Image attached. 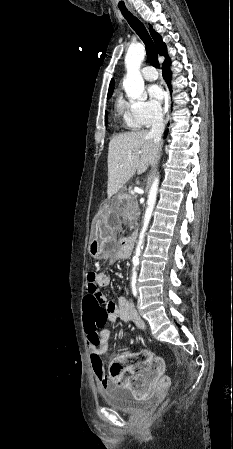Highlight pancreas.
Masks as SVG:
<instances>
[{"label":"pancreas","instance_id":"obj_1","mask_svg":"<svg viewBox=\"0 0 233 449\" xmlns=\"http://www.w3.org/2000/svg\"><path fill=\"white\" fill-rule=\"evenodd\" d=\"M123 198L127 200L126 205H124L123 208V216L134 217L138 210L136 196L128 194L124 195Z\"/></svg>","mask_w":233,"mask_h":449}]
</instances>
